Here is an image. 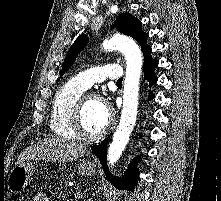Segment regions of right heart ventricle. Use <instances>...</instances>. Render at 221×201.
I'll return each mask as SVG.
<instances>
[{"instance_id": "obj_1", "label": "right heart ventricle", "mask_w": 221, "mask_h": 201, "mask_svg": "<svg viewBox=\"0 0 221 201\" xmlns=\"http://www.w3.org/2000/svg\"><path fill=\"white\" fill-rule=\"evenodd\" d=\"M84 90L74 81H69L56 93L50 113V129L56 136L63 139L76 138L72 119L75 106Z\"/></svg>"}]
</instances>
